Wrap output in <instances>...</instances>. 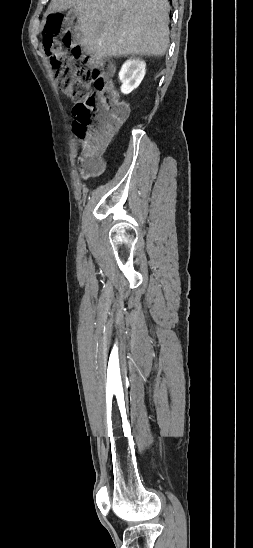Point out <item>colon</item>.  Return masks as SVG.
Returning a JSON list of instances; mask_svg holds the SVG:
<instances>
[{
    "mask_svg": "<svg viewBox=\"0 0 253 548\" xmlns=\"http://www.w3.org/2000/svg\"><path fill=\"white\" fill-rule=\"evenodd\" d=\"M62 22L60 14L49 15L43 45L57 87L75 102L73 127L84 141L81 163L85 175L90 176L102 170L100 152L127 117L128 106L108 79L109 64L84 55L79 46L70 43L68 33L61 41L54 38L61 32Z\"/></svg>",
    "mask_w": 253,
    "mask_h": 548,
    "instance_id": "1",
    "label": "colon"
}]
</instances>
